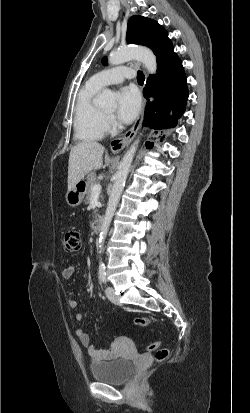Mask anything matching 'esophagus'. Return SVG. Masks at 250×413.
<instances>
[{
	"mask_svg": "<svg viewBox=\"0 0 250 413\" xmlns=\"http://www.w3.org/2000/svg\"><path fill=\"white\" fill-rule=\"evenodd\" d=\"M145 104H146V101L144 100L140 115L136 119L133 126L122 137L115 138L110 142V150L113 153H119L120 151H122L136 136L137 131L139 130L142 120H143Z\"/></svg>",
	"mask_w": 250,
	"mask_h": 413,
	"instance_id": "obj_1",
	"label": "esophagus"
}]
</instances>
